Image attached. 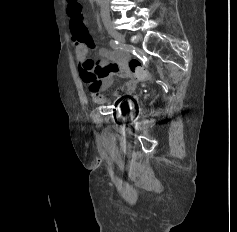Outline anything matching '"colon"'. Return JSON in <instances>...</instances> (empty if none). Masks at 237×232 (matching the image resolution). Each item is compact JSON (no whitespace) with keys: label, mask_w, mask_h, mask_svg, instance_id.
<instances>
[{"label":"colon","mask_w":237,"mask_h":232,"mask_svg":"<svg viewBox=\"0 0 237 232\" xmlns=\"http://www.w3.org/2000/svg\"><path fill=\"white\" fill-rule=\"evenodd\" d=\"M68 14L71 18L72 28L78 32H83L85 30V24L82 15V5L79 0H69ZM128 66L136 77L141 79L149 78V73L138 59H131Z\"/></svg>","instance_id":"obj_1"}]
</instances>
